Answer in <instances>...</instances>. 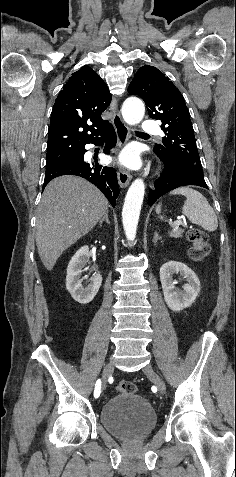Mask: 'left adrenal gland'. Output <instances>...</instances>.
<instances>
[{
	"mask_svg": "<svg viewBox=\"0 0 236 477\" xmlns=\"http://www.w3.org/2000/svg\"><path fill=\"white\" fill-rule=\"evenodd\" d=\"M158 240H161V237L159 236L158 232H155L153 237V242L156 243Z\"/></svg>",
	"mask_w": 236,
	"mask_h": 477,
	"instance_id": "obj_1",
	"label": "left adrenal gland"
}]
</instances>
